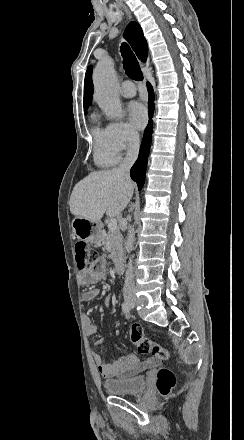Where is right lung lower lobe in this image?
Returning a JSON list of instances; mask_svg holds the SVG:
<instances>
[{
	"mask_svg": "<svg viewBox=\"0 0 244 440\" xmlns=\"http://www.w3.org/2000/svg\"><path fill=\"white\" fill-rule=\"evenodd\" d=\"M148 92H149V101H148V111H149V123L144 131L143 140L140 147V152L137 161L133 165L130 171L131 178L137 183L138 189L141 190L144 181H145V173L147 167V159L151 146V135H152V122L151 118L154 112V93L152 86L150 83H147Z\"/></svg>",
	"mask_w": 244,
	"mask_h": 440,
	"instance_id": "1",
	"label": "right lung lower lobe"
}]
</instances>
